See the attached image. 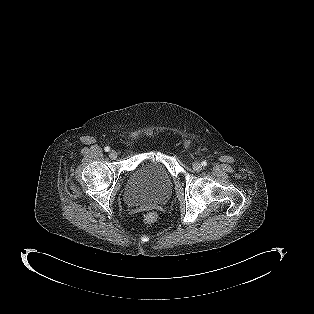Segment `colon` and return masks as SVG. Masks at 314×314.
I'll use <instances>...</instances> for the list:
<instances>
[{"label":"colon","mask_w":314,"mask_h":314,"mask_svg":"<svg viewBox=\"0 0 314 314\" xmlns=\"http://www.w3.org/2000/svg\"><path fill=\"white\" fill-rule=\"evenodd\" d=\"M157 220V215L153 212L147 213L144 215V222L151 224Z\"/></svg>","instance_id":"colon-1"}]
</instances>
